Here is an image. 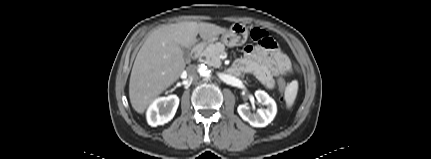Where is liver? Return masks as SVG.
<instances>
[{"label":"liver","instance_id":"liver-1","mask_svg":"<svg viewBox=\"0 0 431 159\" xmlns=\"http://www.w3.org/2000/svg\"><path fill=\"white\" fill-rule=\"evenodd\" d=\"M227 29L212 23L180 22L154 30L140 48L131 71L129 98L143 114L147 107L176 82L186 67L182 47L190 49L197 35L210 41Z\"/></svg>","mask_w":431,"mask_h":159}]
</instances>
